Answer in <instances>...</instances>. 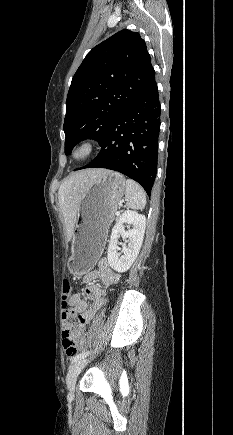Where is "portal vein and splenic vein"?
Returning a JSON list of instances; mask_svg holds the SVG:
<instances>
[{
  "label": "portal vein and splenic vein",
  "mask_w": 233,
  "mask_h": 435,
  "mask_svg": "<svg viewBox=\"0 0 233 435\" xmlns=\"http://www.w3.org/2000/svg\"><path fill=\"white\" fill-rule=\"evenodd\" d=\"M120 213L119 212H116V215H119Z\"/></svg>",
  "instance_id": "1"
}]
</instances>
